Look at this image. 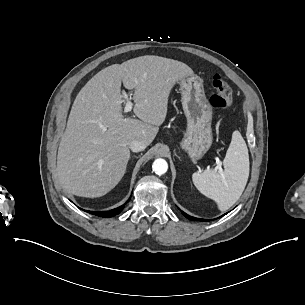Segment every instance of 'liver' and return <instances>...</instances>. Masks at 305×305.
I'll return each instance as SVG.
<instances>
[{
  "instance_id": "obj_1",
  "label": "liver",
  "mask_w": 305,
  "mask_h": 305,
  "mask_svg": "<svg viewBox=\"0 0 305 305\" xmlns=\"http://www.w3.org/2000/svg\"><path fill=\"white\" fill-rule=\"evenodd\" d=\"M194 75L186 64L143 56L97 73L78 94L57 156L63 188L76 196L100 197L124 177L130 158L128 142L149 146L166 120L168 100L179 81ZM134 90V113L123 112L121 87Z\"/></svg>"
}]
</instances>
